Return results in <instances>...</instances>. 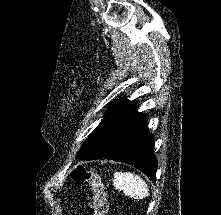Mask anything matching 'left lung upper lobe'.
I'll return each mask as SVG.
<instances>
[{"instance_id": "obj_1", "label": "left lung upper lobe", "mask_w": 221, "mask_h": 215, "mask_svg": "<svg viewBox=\"0 0 221 215\" xmlns=\"http://www.w3.org/2000/svg\"><path fill=\"white\" fill-rule=\"evenodd\" d=\"M133 107L134 106L127 101H120L111 107L100 125L85 141L77 154V158L81 160L100 158L105 151L113 129Z\"/></svg>"}]
</instances>
